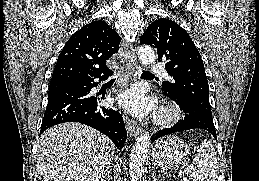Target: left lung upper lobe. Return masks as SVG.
<instances>
[{
	"label": "left lung upper lobe",
	"instance_id": "obj_1",
	"mask_svg": "<svg viewBox=\"0 0 259 181\" xmlns=\"http://www.w3.org/2000/svg\"><path fill=\"white\" fill-rule=\"evenodd\" d=\"M140 43L155 47L158 62H164L173 76L174 82L162 83V90L212 117L204 64L189 34L174 21L159 18L148 26Z\"/></svg>",
	"mask_w": 259,
	"mask_h": 181
}]
</instances>
